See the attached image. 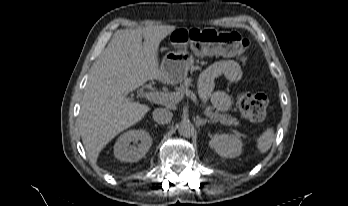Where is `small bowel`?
Wrapping results in <instances>:
<instances>
[{"label": "small bowel", "instance_id": "small-bowel-1", "mask_svg": "<svg viewBox=\"0 0 348 206\" xmlns=\"http://www.w3.org/2000/svg\"><path fill=\"white\" fill-rule=\"evenodd\" d=\"M242 69L240 65L231 59H223L211 64L201 74L199 78V94L204 102L212 101L213 105L220 111L230 109L231 97L225 90H218L212 94L214 82L222 77L229 82H238L242 78Z\"/></svg>", "mask_w": 348, "mask_h": 206}]
</instances>
